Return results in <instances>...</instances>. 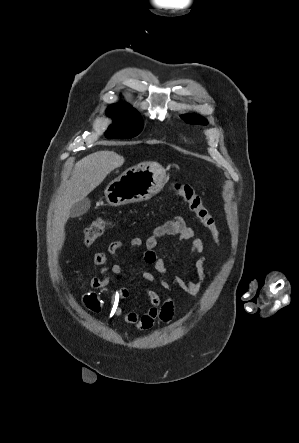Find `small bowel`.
Masks as SVG:
<instances>
[{"label":"small bowel","mask_w":299,"mask_h":443,"mask_svg":"<svg viewBox=\"0 0 299 443\" xmlns=\"http://www.w3.org/2000/svg\"><path fill=\"white\" fill-rule=\"evenodd\" d=\"M164 236H174L181 241H190V253H201L204 250V244L201 239L196 238L194 230L186 225L182 217L176 216L164 224L155 227L145 241L139 237H134L130 240L129 246L131 248L145 246L144 260L146 263L153 265L158 274L156 276L151 271H143L141 279L147 283H157L165 291L176 286L193 297L197 296L203 287L205 279V259L199 258L195 263L198 281L192 282L186 277L176 276L172 282H168L164 277L167 271L165 261L158 254L159 239ZM123 247L124 244L121 241H113L108 247V253L116 255ZM94 263L100 266L101 273L100 278L95 277L90 281L91 287L95 290L108 289L109 286L114 284L117 276L122 273L120 265L108 263V254L105 252L96 253L94 255ZM146 295L150 302V308L145 313L138 314L134 311L124 313L122 302L128 298L129 291L124 287L116 288L112 291L110 298L111 310L115 315L121 316L126 325L133 326L139 330L150 329L157 320L164 323L170 322L174 315L173 300L169 297L162 299L152 289H146ZM84 302L91 311L99 312L101 309L100 300L94 292L87 294Z\"/></svg>","instance_id":"small-bowel-1"}]
</instances>
